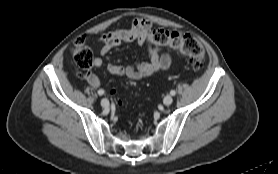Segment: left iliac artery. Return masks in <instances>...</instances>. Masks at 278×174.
<instances>
[{"mask_svg":"<svg viewBox=\"0 0 278 174\" xmlns=\"http://www.w3.org/2000/svg\"><path fill=\"white\" fill-rule=\"evenodd\" d=\"M170 94H171L172 96H175V94H176L175 90H171V91H170Z\"/></svg>","mask_w":278,"mask_h":174,"instance_id":"left-iliac-artery-1","label":"left iliac artery"}]
</instances>
